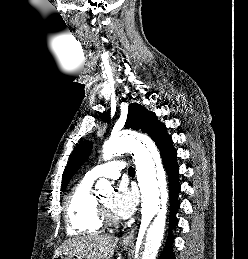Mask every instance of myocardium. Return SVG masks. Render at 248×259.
<instances>
[{"label":"myocardium","mask_w":248,"mask_h":259,"mask_svg":"<svg viewBox=\"0 0 248 259\" xmlns=\"http://www.w3.org/2000/svg\"><path fill=\"white\" fill-rule=\"evenodd\" d=\"M98 203V214L103 224L115 225L118 223L117 217L111 212V210L105 206L100 200Z\"/></svg>","instance_id":"myocardium-1"}]
</instances>
